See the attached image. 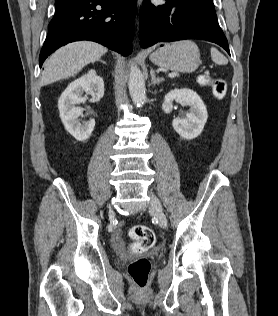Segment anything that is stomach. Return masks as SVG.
I'll use <instances>...</instances> for the list:
<instances>
[{"instance_id": "1", "label": "stomach", "mask_w": 278, "mask_h": 316, "mask_svg": "<svg viewBox=\"0 0 278 316\" xmlns=\"http://www.w3.org/2000/svg\"><path fill=\"white\" fill-rule=\"evenodd\" d=\"M157 66L172 71L192 73L200 65V52L192 41H180L166 44L150 55Z\"/></svg>"}]
</instances>
